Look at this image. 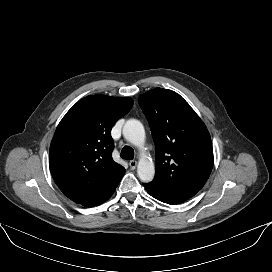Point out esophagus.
I'll return each instance as SVG.
<instances>
[{
  "instance_id": "34e87169",
  "label": "esophagus",
  "mask_w": 272,
  "mask_h": 272,
  "mask_svg": "<svg viewBox=\"0 0 272 272\" xmlns=\"http://www.w3.org/2000/svg\"><path fill=\"white\" fill-rule=\"evenodd\" d=\"M129 166L131 170H134L137 167V161L134 160L130 161Z\"/></svg>"
}]
</instances>
